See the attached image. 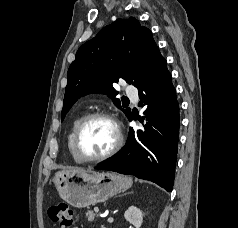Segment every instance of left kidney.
<instances>
[{"label": "left kidney", "instance_id": "5707ae66", "mask_svg": "<svg viewBox=\"0 0 238 228\" xmlns=\"http://www.w3.org/2000/svg\"><path fill=\"white\" fill-rule=\"evenodd\" d=\"M124 218L129 221L136 228H140L143 221V213L142 211L135 207L130 206L124 213Z\"/></svg>", "mask_w": 238, "mask_h": 228}]
</instances>
